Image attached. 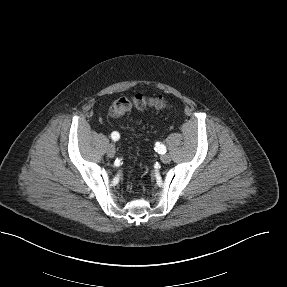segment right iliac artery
I'll use <instances>...</instances> for the list:
<instances>
[{"label":"right iliac artery","instance_id":"right-iliac-artery-1","mask_svg":"<svg viewBox=\"0 0 287 287\" xmlns=\"http://www.w3.org/2000/svg\"><path fill=\"white\" fill-rule=\"evenodd\" d=\"M111 137L114 141H117L120 138V135L118 132L114 131L112 132Z\"/></svg>","mask_w":287,"mask_h":287}]
</instances>
